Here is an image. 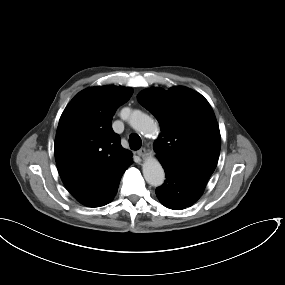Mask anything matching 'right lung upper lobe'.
Returning <instances> with one entry per match:
<instances>
[{"label":"right lung upper lobe","mask_w":285,"mask_h":285,"mask_svg":"<svg viewBox=\"0 0 285 285\" xmlns=\"http://www.w3.org/2000/svg\"><path fill=\"white\" fill-rule=\"evenodd\" d=\"M129 87L98 86L79 92L63 111L55 138V160L67 190L82 204L99 207L117 191L132 153L111 127Z\"/></svg>","instance_id":"cb5924a9"}]
</instances>
